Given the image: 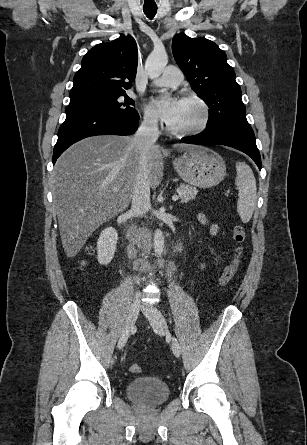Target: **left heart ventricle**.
Returning a JSON list of instances; mask_svg holds the SVG:
<instances>
[{
    "mask_svg": "<svg viewBox=\"0 0 307 445\" xmlns=\"http://www.w3.org/2000/svg\"><path fill=\"white\" fill-rule=\"evenodd\" d=\"M201 118L200 108L189 101H184L178 118L170 124L173 129H183L195 125Z\"/></svg>",
    "mask_w": 307,
    "mask_h": 445,
    "instance_id": "1",
    "label": "left heart ventricle"
}]
</instances>
